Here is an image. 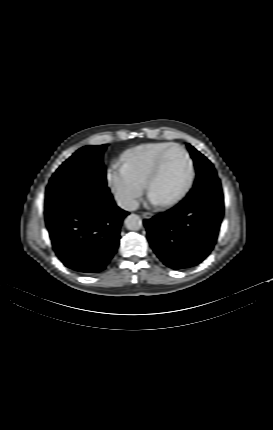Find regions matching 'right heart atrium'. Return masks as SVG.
<instances>
[{"label":"right heart atrium","instance_id":"1","mask_svg":"<svg viewBox=\"0 0 273 430\" xmlns=\"http://www.w3.org/2000/svg\"><path fill=\"white\" fill-rule=\"evenodd\" d=\"M107 180L118 205L127 210L134 208L144 190V184L135 179L119 162L110 164Z\"/></svg>","mask_w":273,"mask_h":430}]
</instances>
